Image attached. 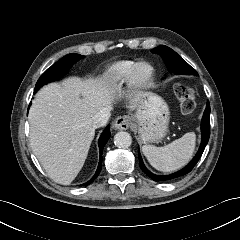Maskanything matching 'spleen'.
<instances>
[{
    "mask_svg": "<svg viewBox=\"0 0 240 240\" xmlns=\"http://www.w3.org/2000/svg\"><path fill=\"white\" fill-rule=\"evenodd\" d=\"M195 142V133L188 132L181 138L163 147L144 145L142 152L156 170L173 172L183 167L192 158Z\"/></svg>",
    "mask_w": 240,
    "mask_h": 240,
    "instance_id": "obj_1",
    "label": "spleen"
}]
</instances>
